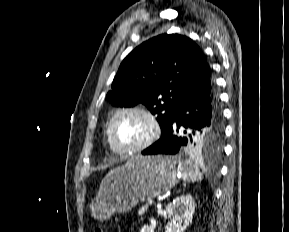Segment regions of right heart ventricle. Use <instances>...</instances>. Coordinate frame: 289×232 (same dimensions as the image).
Segmentation results:
<instances>
[{
    "mask_svg": "<svg viewBox=\"0 0 289 232\" xmlns=\"http://www.w3.org/2000/svg\"><path fill=\"white\" fill-rule=\"evenodd\" d=\"M106 138H107V142H108V145H109L110 149H111L113 152L118 153V151L112 146V144H111L110 141H109V138H108V135H107V129H106Z\"/></svg>",
    "mask_w": 289,
    "mask_h": 232,
    "instance_id": "e07e8e85",
    "label": "right heart ventricle"
}]
</instances>
